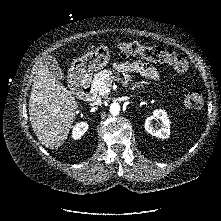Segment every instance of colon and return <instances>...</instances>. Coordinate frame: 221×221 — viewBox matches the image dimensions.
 I'll list each match as a JSON object with an SVG mask.
<instances>
[{
    "label": "colon",
    "instance_id": "obj_1",
    "mask_svg": "<svg viewBox=\"0 0 221 221\" xmlns=\"http://www.w3.org/2000/svg\"><path fill=\"white\" fill-rule=\"evenodd\" d=\"M119 52L122 57L138 54L152 62L167 64L177 75H183L188 70V62L185 58L163 48L148 47L132 41L122 43L119 47ZM184 103L189 108H200L203 104L202 94L198 89H191L185 96Z\"/></svg>",
    "mask_w": 221,
    "mask_h": 221
}]
</instances>
